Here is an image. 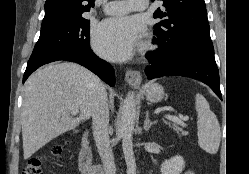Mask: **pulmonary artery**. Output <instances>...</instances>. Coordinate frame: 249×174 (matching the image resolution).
<instances>
[{
	"mask_svg": "<svg viewBox=\"0 0 249 174\" xmlns=\"http://www.w3.org/2000/svg\"><path fill=\"white\" fill-rule=\"evenodd\" d=\"M148 0H121L112 1L103 7L107 14L122 15L130 11H143L147 8Z\"/></svg>",
	"mask_w": 249,
	"mask_h": 174,
	"instance_id": "e3ab8cb5",
	"label": "pulmonary artery"
}]
</instances>
